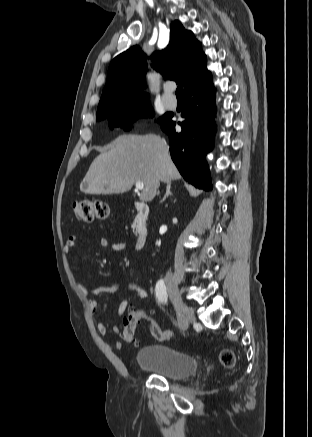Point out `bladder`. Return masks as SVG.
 Returning a JSON list of instances; mask_svg holds the SVG:
<instances>
[{
  "mask_svg": "<svg viewBox=\"0 0 312 437\" xmlns=\"http://www.w3.org/2000/svg\"><path fill=\"white\" fill-rule=\"evenodd\" d=\"M136 360L140 368L169 380L187 378L198 369V362L192 354L162 344L144 346Z\"/></svg>",
  "mask_w": 312,
  "mask_h": 437,
  "instance_id": "bladder-1",
  "label": "bladder"
}]
</instances>
